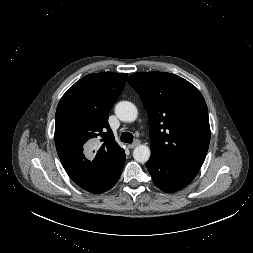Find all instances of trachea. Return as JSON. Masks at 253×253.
I'll list each match as a JSON object with an SVG mask.
<instances>
[{"label": "trachea", "mask_w": 253, "mask_h": 253, "mask_svg": "<svg viewBox=\"0 0 253 253\" xmlns=\"http://www.w3.org/2000/svg\"><path fill=\"white\" fill-rule=\"evenodd\" d=\"M121 141L125 143H132L133 135L130 132H123L121 134Z\"/></svg>", "instance_id": "1"}]
</instances>
